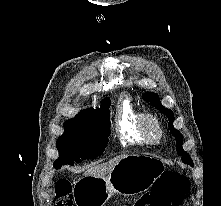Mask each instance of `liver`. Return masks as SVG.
<instances>
[{
    "instance_id": "liver-1",
    "label": "liver",
    "mask_w": 221,
    "mask_h": 206,
    "mask_svg": "<svg viewBox=\"0 0 221 206\" xmlns=\"http://www.w3.org/2000/svg\"><path fill=\"white\" fill-rule=\"evenodd\" d=\"M126 156L127 155H119L106 163L90 167L84 174L89 176L105 177L112 171L115 165Z\"/></svg>"
}]
</instances>
